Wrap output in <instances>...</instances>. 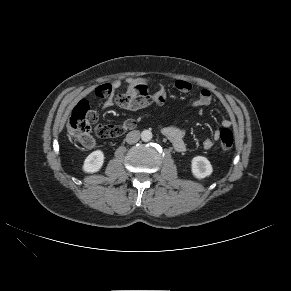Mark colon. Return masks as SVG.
Instances as JSON below:
<instances>
[{"mask_svg": "<svg viewBox=\"0 0 291 291\" xmlns=\"http://www.w3.org/2000/svg\"><path fill=\"white\" fill-rule=\"evenodd\" d=\"M97 97H103L101 89L95 91ZM97 121V114L89 106L86 100H82L74 107L67 123L68 136L84 146H91L93 139L91 136V126ZM133 119H127L119 125H99L95 128V133L100 138H112L123 134L125 131L135 126ZM219 144L223 151H228L233 147L234 137L230 129L224 128L219 134Z\"/></svg>", "mask_w": 291, "mask_h": 291, "instance_id": "1", "label": "colon"}]
</instances>
